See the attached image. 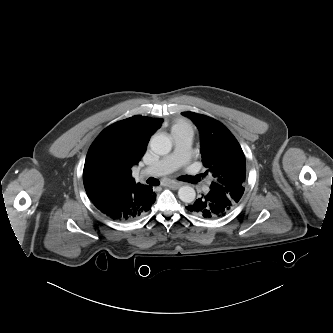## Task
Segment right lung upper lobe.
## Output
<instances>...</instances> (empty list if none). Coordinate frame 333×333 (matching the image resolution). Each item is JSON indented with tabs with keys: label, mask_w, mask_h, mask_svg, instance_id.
Wrapping results in <instances>:
<instances>
[{
	"label": "right lung upper lobe",
	"mask_w": 333,
	"mask_h": 333,
	"mask_svg": "<svg viewBox=\"0 0 333 333\" xmlns=\"http://www.w3.org/2000/svg\"><path fill=\"white\" fill-rule=\"evenodd\" d=\"M163 119L136 115L104 129L90 146L83 170L89 196L143 188L136 184L131 168L143 156L151 135Z\"/></svg>",
	"instance_id": "1"
}]
</instances>
